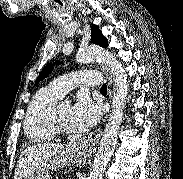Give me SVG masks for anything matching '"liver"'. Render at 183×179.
<instances>
[{"mask_svg":"<svg viewBox=\"0 0 183 179\" xmlns=\"http://www.w3.org/2000/svg\"><path fill=\"white\" fill-rule=\"evenodd\" d=\"M63 148V145L56 143H43L27 147L18 159L14 179H28L31 174L52 160Z\"/></svg>","mask_w":183,"mask_h":179,"instance_id":"1","label":"liver"}]
</instances>
